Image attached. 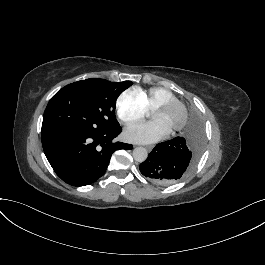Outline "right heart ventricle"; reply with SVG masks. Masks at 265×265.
Listing matches in <instances>:
<instances>
[{
  "mask_svg": "<svg viewBox=\"0 0 265 265\" xmlns=\"http://www.w3.org/2000/svg\"><path fill=\"white\" fill-rule=\"evenodd\" d=\"M134 93L141 99L147 112L152 111L154 106L159 102L175 98L169 90L162 87H153L149 90L137 89Z\"/></svg>",
  "mask_w": 265,
  "mask_h": 265,
  "instance_id": "e07e8e85",
  "label": "right heart ventricle"
}]
</instances>
